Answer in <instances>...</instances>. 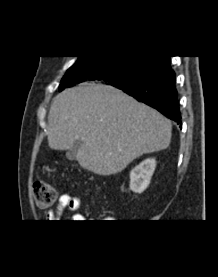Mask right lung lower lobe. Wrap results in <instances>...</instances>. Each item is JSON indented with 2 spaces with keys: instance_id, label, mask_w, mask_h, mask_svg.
<instances>
[{
  "instance_id": "right-lung-lower-lobe-1",
  "label": "right lung lower lobe",
  "mask_w": 218,
  "mask_h": 277,
  "mask_svg": "<svg viewBox=\"0 0 218 277\" xmlns=\"http://www.w3.org/2000/svg\"><path fill=\"white\" fill-rule=\"evenodd\" d=\"M84 80H101L97 73H88ZM139 101L155 108L181 124L175 88V73L169 56H157L154 61L130 82L115 86ZM181 127V126H180Z\"/></svg>"
}]
</instances>
